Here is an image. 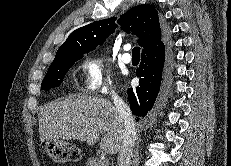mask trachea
Listing matches in <instances>:
<instances>
[{
    "label": "trachea",
    "instance_id": "obj_1",
    "mask_svg": "<svg viewBox=\"0 0 231 166\" xmlns=\"http://www.w3.org/2000/svg\"><path fill=\"white\" fill-rule=\"evenodd\" d=\"M132 57L140 58V47H134L132 50Z\"/></svg>",
    "mask_w": 231,
    "mask_h": 166
}]
</instances>
